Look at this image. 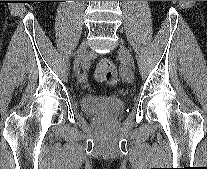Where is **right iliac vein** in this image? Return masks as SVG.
<instances>
[{
    "label": "right iliac vein",
    "mask_w": 207,
    "mask_h": 169,
    "mask_svg": "<svg viewBox=\"0 0 207 169\" xmlns=\"http://www.w3.org/2000/svg\"><path fill=\"white\" fill-rule=\"evenodd\" d=\"M86 50H87V43H86V41H83L77 50L75 60L73 63V68L75 71L78 70L79 64L81 62V59L84 57ZM84 81H85V79H83L81 82H84Z\"/></svg>",
    "instance_id": "right-iliac-vein-1"
}]
</instances>
